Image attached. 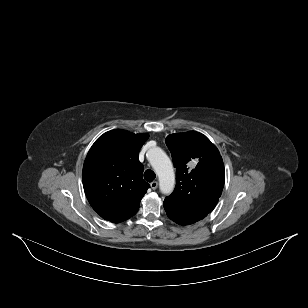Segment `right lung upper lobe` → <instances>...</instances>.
<instances>
[{
    "instance_id": "obj_1",
    "label": "right lung upper lobe",
    "mask_w": 308,
    "mask_h": 308,
    "mask_svg": "<svg viewBox=\"0 0 308 308\" xmlns=\"http://www.w3.org/2000/svg\"><path fill=\"white\" fill-rule=\"evenodd\" d=\"M147 134L122 129L100 136L83 166V187L92 208L105 220L125 221L136 214L150 185L142 178L138 153Z\"/></svg>"
}]
</instances>
